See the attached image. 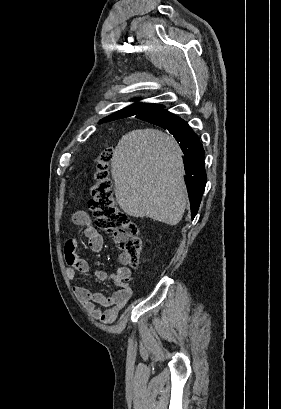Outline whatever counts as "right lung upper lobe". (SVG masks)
Here are the masks:
<instances>
[{
    "label": "right lung upper lobe",
    "mask_w": 281,
    "mask_h": 409,
    "mask_svg": "<svg viewBox=\"0 0 281 409\" xmlns=\"http://www.w3.org/2000/svg\"><path fill=\"white\" fill-rule=\"evenodd\" d=\"M164 106L162 105H158V104H146V103H136L133 105H130L108 117H105L104 119H102L100 121V123H104V122H108V121H112V120H116V119H120V118H125V117H129V116H133V115H138L141 113H145L148 111H153V110H157V109H161Z\"/></svg>",
    "instance_id": "right-lung-upper-lobe-1"
}]
</instances>
